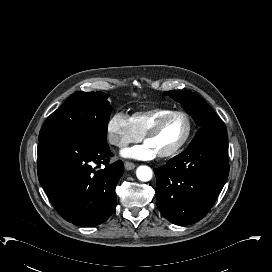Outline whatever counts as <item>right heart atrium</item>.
<instances>
[{"instance_id":"d8ad5b80","label":"right heart atrium","mask_w":272,"mask_h":272,"mask_svg":"<svg viewBox=\"0 0 272 272\" xmlns=\"http://www.w3.org/2000/svg\"><path fill=\"white\" fill-rule=\"evenodd\" d=\"M106 133L108 142L118 147L135 142L141 136L133 121L123 112L115 113L107 121Z\"/></svg>"}]
</instances>
